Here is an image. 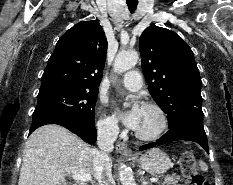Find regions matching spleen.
<instances>
[{"mask_svg": "<svg viewBox=\"0 0 233 185\" xmlns=\"http://www.w3.org/2000/svg\"><path fill=\"white\" fill-rule=\"evenodd\" d=\"M199 166H200V168H201L202 171H204V172L208 171V166H207V164L205 162L200 161L199 162Z\"/></svg>", "mask_w": 233, "mask_h": 185, "instance_id": "spleen-1", "label": "spleen"}]
</instances>
